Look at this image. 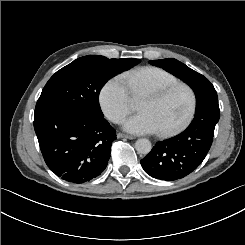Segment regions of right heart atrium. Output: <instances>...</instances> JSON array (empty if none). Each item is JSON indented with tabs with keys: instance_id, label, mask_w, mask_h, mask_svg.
<instances>
[{
	"instance_id": "obj_1",
	"label": "right heart atrium",
	"mask_w": 245,
	"mask_h": 245,
	"mask_svg": "<svg viewBox=\"0 0 245 245\" xmlns=\"http://www.w3.org/2000/svg\"><path fill=\"white\" fill-rule=\"evenodd\" d=\"M99 101L106 116L119 123L129 112L131 92L120 77H112L103 85Z\"/></svg>"
}]
</instances>
